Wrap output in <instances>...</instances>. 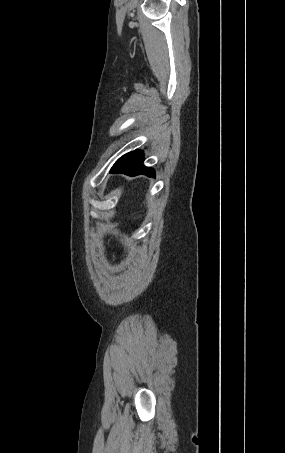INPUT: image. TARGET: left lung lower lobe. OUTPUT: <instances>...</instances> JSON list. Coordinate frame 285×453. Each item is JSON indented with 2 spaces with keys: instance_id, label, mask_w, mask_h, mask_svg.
<instances>
[{
  "instance_id": "left-lung-lower-lobe-1",
  "label": "left lung lower lobe",
  "mask_w": 285,
  "mask_h": 453,
  "mask_svg": "<svg viewBox=\"0 0 285 453\" xmlns=\"http://www.w3.org/2000/svg\"><path fill=\"white\" fill-rule=\"evenodd\" d=\"M143 160L144 156L142 151H132L119 158L111 168L110 173H123L130 176L140 174L148 177L155 176V172L152 168L143 166Z\"/></svg>"
}]
</instances>
